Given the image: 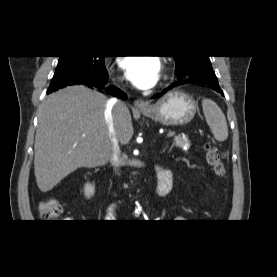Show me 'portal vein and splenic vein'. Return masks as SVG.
<instances>
[{"label":"portal vein and splenic vein","mask_w":277,"mask_h":277,"mask_svg":"<svg viewBox=\"0 0 277 277\" xmlns=\"http://www.w3.org/2000/svg\"><path fill=\"white\" fill-rule=\"evenodd\" d=\"M173 136H175V132H169L168 134H167V137L168 138H171V137H173Z\"/></svg>","instance_id":"1"}]
</instances>
